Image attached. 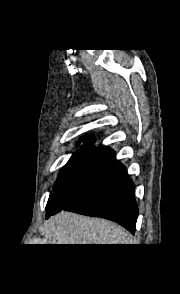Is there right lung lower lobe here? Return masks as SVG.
Listing matches in <instances>:
<instances>
[{"instance_id": "right-lung-lower-lobe-1", "label": "right lung lower lobe", "mask_w": 180, "mask_h": 294, "mask_svg": "<svg viewBox=\"0 0 180 294\" xmlns=\"http://www.w3.org/2000/svg\"><path fill=\"white\" fill-rule=\"evenodd\" d=\"M135 185L109 147L99 148L74 180L46 207V217L61 210L115 221L135 232L138 207Z\"/></svg>"}]
</instances>
